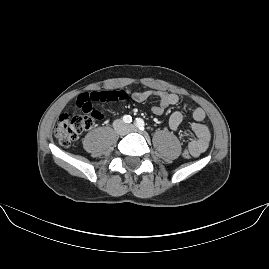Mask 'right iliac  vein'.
<instances>
[{
	"mask_svg": "<svg viewBox=\"0 0 269 269\" xmlns=\"http://www.w3.org/2000/svg\"><path fill=\"white\" fill-rule=\"evenodd\" d=\"M116 133H117L118 135H120V136L125 135L124 130H117Z\"/></svg>",
	"mask_w": 269,
	"mask_h": 269,
	"instance_id": "obj_1",
	"label": "right iliac vein"
}]
</instances>
